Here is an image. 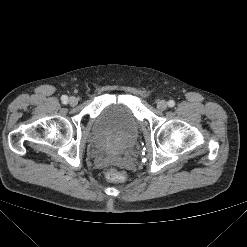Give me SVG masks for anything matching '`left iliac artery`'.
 Masks as SVG:
<instances>
[{
  "label": "left iliac artery",
  "instance_id": "obj_1",
  "mask_svg": "<svg viewBox=\"0 0 247 247\" xmlns=\"http://www.w3.org/2000/svg\"><path fill=\"white\" fill-rule=\"evenodd\" d=\"M168 106H169V107H174V106H175V102H174L173 100H170V101L168 102Z\"/></svg>",
  "mask_w": 247,
  "mask_h": 247
}]
</instances>
